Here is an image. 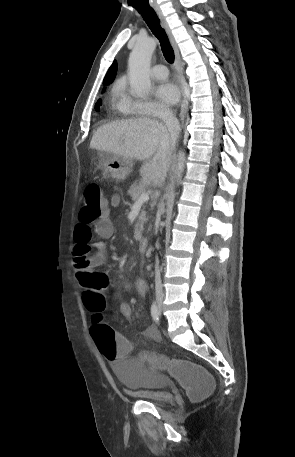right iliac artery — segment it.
<instances>
[{"mask_svg":"<svg viewBox=\"0 0 295 457\" xmlns=\"http://www.w3.org/2000/svg\"><path fill=\"white\" fill-rule=\"evenodd\" d=\"M151 315H152V318L153 320L156 322V323H159V315H160V312H159V309L156 305V303L154 302L151 306Z\"/></svg>","mask_w":295,"mask_h":457,"instance_id":"82829eb1","label":"right iliac artery"}]
</instances>
